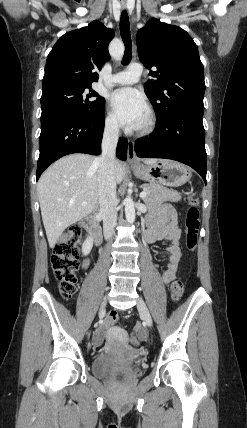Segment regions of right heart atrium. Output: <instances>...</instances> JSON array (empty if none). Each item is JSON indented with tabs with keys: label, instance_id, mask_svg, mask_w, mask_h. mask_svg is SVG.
I'll return each mask as SVG.
<instances>
[{
	"label": "right heart atrium",
	"instance_id": "right-heart-atrium-1",
	"mask_svg": "<svg viewBox=\"0 0 247 428\" xmlns=\"http://www.w3.org/2000/svg\"><path fill=\"white\" fill-rule=\"evenodd\" d=\"M105 129L112 134L119 131V123L112 113H108L105 117Z\"/></svg>",
	"mask_w": 247,
	"mask_h": 428
}]
</instances>
